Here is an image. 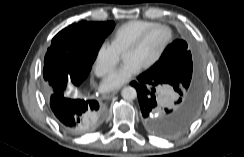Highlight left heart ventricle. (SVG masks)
Returning a JSON list of instances; mask_svg holds the SVG:
<instances>
[{
	"label": "left heart ventricle",
	"instance_id": "obj_1",
	"mask_svg": "<svg viewBox=\"0 0 244 157\" xmlns=\"http://www.w3.org/2000/svg\"><path fill=\"white\" fill-rule=\"evenodd\" d=\"M166 39L167 32L163 29H157L146 37L140 47L125 52L123 58L125 61L132 60L142 67L159 53Z\"/></svg>",
	"mask_w": 244,
	"mask_h": 157
}]
</instances>
